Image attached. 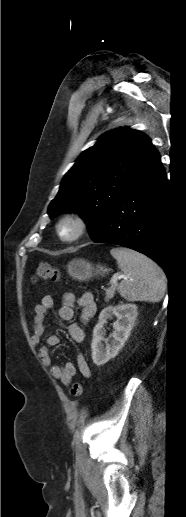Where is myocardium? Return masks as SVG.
I'll return each instance as SVG.
<instances>
[{
    "instance_id": "f54148a6",
    "label": "myocardium",
    "mask_w": 186,
    "mask_h": 517,
    "mask_svg": "<svg viewBox=\"0 0 186 517\" xmlns=\"http://www.w3.org/2000/svg\"><path fill=\"white\" fill-rule=\"evenodd\" d=\"M66 225H71L73 231L70 234H65L63 232V227ZM87 230V222L85 218L74 212L65 213L61 216L56 224V233L60 240L66 243H73L80 239Z\"/></svg>"
}]
</instances>
